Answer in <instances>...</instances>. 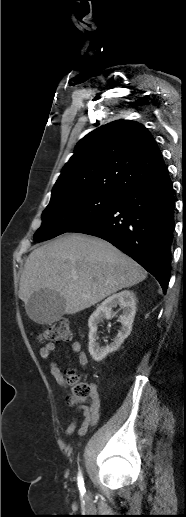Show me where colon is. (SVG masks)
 <instances>
[{"label": "colon", "mask_w": 186, "mask_h": 517, "mask_svg": "<svg viewBox=\"0 0 186 517\" xmlns=\"http://www.w3.org/2000/svg\"><path fill=\"white\" fill-rule=\"evenodd\" d=\"M72 334L71 327L66 320L58 321L52 325H48L38 334V340L41 342H55L66 340ZM67 379L71 384V402H87L94 396L93 385L79 380L75 372H68Z\"/></svg>", "instance_id": "1"}]
</instances>
